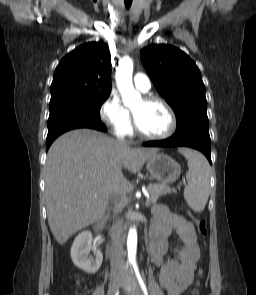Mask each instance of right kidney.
I'll use <instances>...</instances> for the list:
<instances>
[{"label": "right kidney", "instance_id": "ca27d5eb", "mask_svg": "<svg viewBox=\"0 0 256 295\" xmlns=\"http://www.w3.org/2000/svg\"><path fill=\"white\" fill-rule=\"evenodd\" d=\"M92 233L88 230L83 231L76 236L71 247V259L75 266L88 274L96 273L103 261V255L100 250L92 247ZM93 250L94 257L89 256Z\"/></svg>", "mask_w": 256, "mask_h": 295}]
</instances>
